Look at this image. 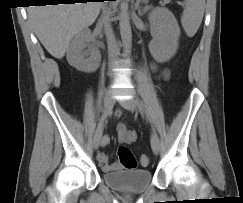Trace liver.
<instances>
[{
  "label": "liver",
  "mask_w": 243,
  "mask_h": 203,
  "mask_svg": "<svg viewBox=\"0 0 243 203\" xmlns=\"http://www.w3.org/2000/svg\"><path fill=\"white\" fill-rule=\"evenodd\" d=\"M101 5V2H87L31 6L28 16L46 50L61 59L73 36L95 22Z\"/></svg>",
  "instance_id": "6515ba94"
}]
</instances>
